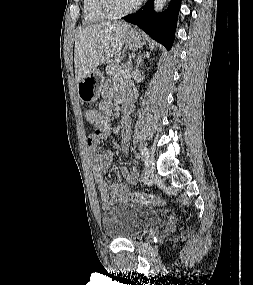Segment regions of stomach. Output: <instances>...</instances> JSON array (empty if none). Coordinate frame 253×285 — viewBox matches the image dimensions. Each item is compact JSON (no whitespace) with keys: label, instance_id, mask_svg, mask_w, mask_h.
<instances>
[{"label":"stomach","instance_id":"1","mask_svg":"<svg viewBox=\"0 0 253 285\" xmlns=\"http://www.w3.org/2000/svg\"><path fill=\"white\" fill-rule=\"evenodd\" d=\"M145 45V38L136 29H131L126 33L125 49L137 50ZM104 77L99 70H94L82 81L77 83V94L79 99L85 103L95 102L101 92Z\"/></svg>","mask_w":253,"mask_h":285}]
</instances>
